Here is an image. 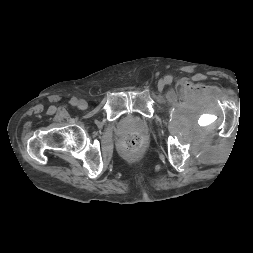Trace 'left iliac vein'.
<instances>
[{"label": "left iliac vein", "instance_id": "1", "mask_svg": "<svg viewBox=\"0 0 253 253\" xmlns=\"http://www.w3.org/2000/svg\"><path fill=\"white\" fill-rule=\"evenodd\" d=\"M164 86H165V83H164V81H159V83H158V88L160 89V90H162L163 88H164Z\"/></svg>", "mask_w": 253, "mask_h": 253}]
</instances>
